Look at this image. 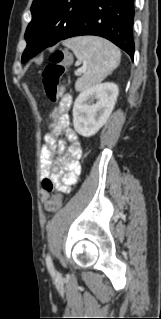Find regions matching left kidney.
Returning a JSON list of instances; mask_svg holds the SVG:
<instances>
[{
    "mask_svg": "<svg viewBox=\"0 0 161 319\" xmlns=\"http://www.w3.org/2000/svg\"><path fill=\"white\" fill-rule=\"evenodd\" d=\"M115 83L95 85L77 97L73 106V125L76 132L91 137L108 120L118 97ZM96 100V103H92Z\"/></svg>",
    "mask_w": 161,
    "mask_h": 319,
    "instance_id": "1",
    "label": "left kidney"
}]
</instances>
